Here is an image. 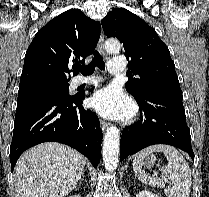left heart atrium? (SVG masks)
I'll return each mask as SVG.
<instances>
[{
	"mask_svg": "<svg viewBox=\"0 0 209 197\" xmlns=\"http://www.w3.org/2000/svg\"><path fill=\"white\" fill-rule=\"evenodd\" d=\"M90 105L100 115L111 119H126L133 113L131 101L114 86H108L95 92Z\"/></svg>",
	"mask_w": 209,
	"mask_h": 197,
	"instance_id": "39dd6f15",
	"label": "left heart atrium"
}]
</instances>
